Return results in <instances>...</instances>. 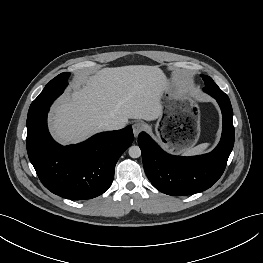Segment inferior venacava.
<instances>
[{
	"mask_svg": "<svg viewBox=\"0 0 263 263\" xmlns=\"http://www.w3.org/2000/svg\"><path fill=\"white\" fill-rule=\"evenodd\" d=\"M107 130H118L124 127V125L116 120H109L104 123Z\"/></svg>",
	"mask_w": 263,
	"mask_h": 263,
	"instance_id": "1",
	"label": "inferior vena cava"
}]
</instances>
